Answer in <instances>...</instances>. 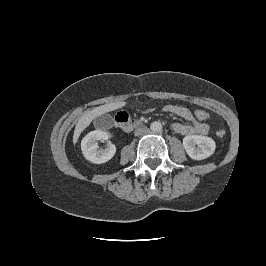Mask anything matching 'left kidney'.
<instances>
[{
  "instance_id": "obj_1",
  "label": "left kidney",
  "mask_w": 266,
  "mask_h": 266,
  "mask_svg": "<svg viewBox=\"0 0 266 266\" xmlns=\"http://www.w3.org/2000/svg\"><path fill=\"white\" fill-rule=\"evenodd\" d=\"M183 146L190 158L203 160L210 157L216 148L215 141L207 136L188 135L183 138Z\"/></svg>"
}]
</instances>
